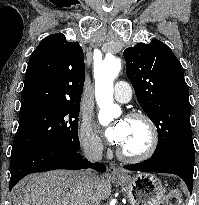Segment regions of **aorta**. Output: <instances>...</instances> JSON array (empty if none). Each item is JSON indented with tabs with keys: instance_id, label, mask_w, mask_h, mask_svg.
I'll use <instances>...</instances> for the list:
<instances>
[{
	"instance_id": "762f6f07",
	"label": "aorta",
	"mask_w": 199,
	"mask_h": 205,
	"mask_svg": "<svg viewBox=\"0 0 199 205\" xmlns=\"http://www.w3.org/2000/svg\"><path fill=\"white\" fill-rule=\"evenodd\" d=\"M121 70V60L115 56L106 57L94 67L95 96L100 107L99 121L107 124L120 114V108L113 104V81Z\"/></svg>"
}]
</instances>
